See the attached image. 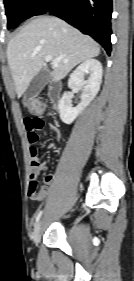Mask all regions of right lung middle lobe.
Here are the masks:
<instances>
[{
  "mask_svg": "<svg viewBox=\"0 0 134 281\" xmlns=\"http://www.w3.org/2000/svg\"><path fill=\"white\" fill-rule=\"evenodd\" d=\"M38 0H5L8 27L15 28L19 23L30 17Z\"/></svg>",
  "mask_w": 134,
  "mask_h": 281,
  "instance_id": "right-lung-middle-lobe-1",
  "label": "right lung middle lobe"
}]
</instances>
